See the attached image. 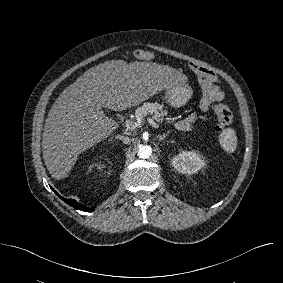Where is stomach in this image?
<instances>
[{
  "label": "stomach",
  "mask_w": 283,
  "mask_h": 283,
  "mask_svg": "<svg viewBox=\"0 0 283 283\" xmlns=\"http://www.w3.org/2000/svg\"><path fill=\"white\" fill-rule=\"evenodd\" d=\"M192 96V89L184 83H177L166 89L164 98L173 107L185 105Z\"/></svg>",
  "instance_id": "obj_1"
}]
</instances>
